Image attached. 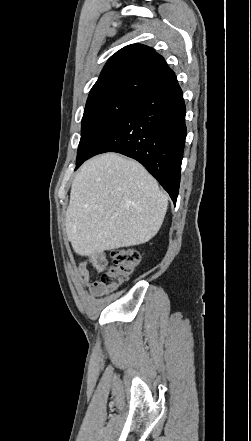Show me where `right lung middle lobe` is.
<instances>
[{"label":"right lung middle lobe","mask_w":251,"mask_h":441,"mask_svg":"<svg viewBox=\"0 0 251 441\" xmlns=\"http://www.w3.org/2000/svg\"><path fill=\"white\" fill-rule=\"evenodd\" d=\"M139 98H108L86 105L77 151L76 169L88 158L95 145L138 101Z\"/></svg>","instance_id":"dd1d6c3e"}]
</instances>
